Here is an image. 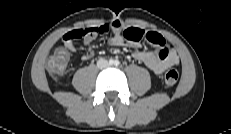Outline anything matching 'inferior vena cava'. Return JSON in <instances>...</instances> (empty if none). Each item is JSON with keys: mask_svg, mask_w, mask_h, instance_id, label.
Returning <instances> with one entry per match:
<instances>
[{"mask_svg": "<svg viewBox=\"0 0 231 134\" xmlns=\"http://www.w3.org/2000/svg\"><path fill=\"white\" fill-rule=\"evenodd\" d=\"M109 63L107 60L100 58L97 62V67L100 69L106 68L108 67Z\"/></svg>", "mask_w": 231, "mask_h": 134, "instance_id": "inferior-vena-cava-1", "label": "inferior vena cava"}]
</instances>
